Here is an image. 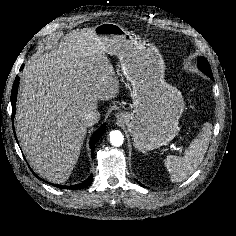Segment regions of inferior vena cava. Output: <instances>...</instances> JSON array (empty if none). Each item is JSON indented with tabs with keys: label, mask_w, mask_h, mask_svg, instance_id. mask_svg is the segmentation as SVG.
Segmentation results:
<instances>
[{
	"label": "inferior vena cava",
	"mask_w": 236,
	"mask_h": 236,
	"mask_svg": "<svg viewBox=\"0 0 236 236\" xmlns=\"http://www.w3.org/2000/svg\"><path fill=\"white\" fill-rule=\"evenodd\" d=\"M100 119V113L96 109H88L83 113V123L86 126H92L98 123Z\"/></svg>",
	"instance_id": "602c4592"
}]
</instances>
